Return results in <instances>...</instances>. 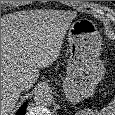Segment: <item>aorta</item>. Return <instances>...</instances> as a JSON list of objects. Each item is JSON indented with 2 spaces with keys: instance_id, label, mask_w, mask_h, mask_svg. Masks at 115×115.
<instances>
[{
  "instance_id": "aorta-1",
  "label": "aorta",
  "mask_w": 115,
  "mask_h": 115,
  "mask_svg": "<svg viewBox=\"0 0 115 115\" xmlns=\"http://www.w3.org/2000/svg\"><path fill=\"white\" fill-rule=\"evenodd\" d=\"M34 101L39 105H49L51 103V95L46 89H40L34 97Z\"/></svg>"
}]
</instances>
